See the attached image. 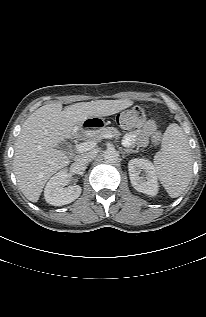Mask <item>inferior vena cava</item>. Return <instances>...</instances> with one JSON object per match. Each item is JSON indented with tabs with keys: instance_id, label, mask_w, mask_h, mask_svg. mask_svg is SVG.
Wrapping results in <instances>:
<instances>
[{
	"instance_id": "602c4592",
	"label": "inferior vena cava",
	"mask_w": 206,
	"mask_h": 317,
	"mask_svg": "<svg viewBox=\"0 0 206 317\" xmlns=\"http://www.w3.org/2000/svg\"><path fill=\"white\" fill-rule=\"evenodd\" d=\"M96 156L94 151L84 152L76 156L75 161L79 164L85 165L92 161Z\"/></svg>"
}]
</instances>
